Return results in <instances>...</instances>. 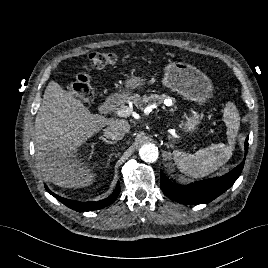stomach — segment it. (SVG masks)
I'll return each mask as SVG.
<instances>
[{
    "label": "stomach",
    "instance_id": "obj_1",
    "mask_svg": "<svg viewBox=\"0 0 268 268\" xmlns=\"http://www.w3.org/2000/svg\"><path fill=\"white\" fill-rule=\"evenodd\" d=\"M162 83L165 87L177 92L188 100L199 105L212 97L213 85L211 80L194 65L182 61H170L164 69ZM145 85V79L138 76H130L124 84V96L130 98L131 91ZM202 114L191 109L183 116L179 127L182 131L191 133L197 129L202 121Z\"/></svg>",
    "mask_w": 268,
    "mask_h": 268
}]
</instances>
